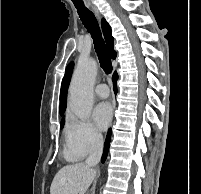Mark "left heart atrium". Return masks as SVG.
<instances>
[{
  "mask_svg": "<svg viewBox=\"0 0 201 194\" xmlns=\"http://www.w3.org/2000/svg\"><path fill=\"white\" fill-rule=\"evenodd\" d=\"M93 118L100 129H105L112 118L111 106L106 102L99 103L93 110Z\"/></svg>",
  "mask_w": 201,
  "mask_h": 194,
  "instance_id": "39dd6f15",
  "label": "left heart atrium"
}]
</instances>
